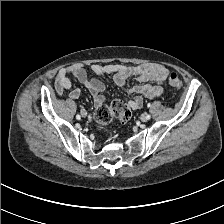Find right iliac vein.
<instances>
[{
  "mask_svg": "<svg viewBox=\"0 0 224 224\" xmlns=\"http://www.w3.org/2000/svg\"><path fill=\"white\" fill-rule=\"evenodd\" d=\"M81 115H82V117H86L87 116V112L85 110H82L81 111Z\"/></svg>",
  "mask_w": 224,
  "mask_h": 224,
  "instance_id": "right-iliac-vein-1",
  "label": "right iliac vein"
}]
</instances>
